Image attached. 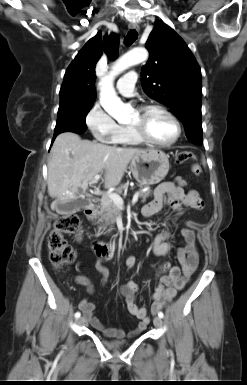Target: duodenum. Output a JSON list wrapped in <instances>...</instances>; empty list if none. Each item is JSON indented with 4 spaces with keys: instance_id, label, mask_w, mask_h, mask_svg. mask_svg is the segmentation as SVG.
Listing matches in <instances>:
<instances>
[{
    "instance_id": "410a0bca",
    "label": "duodenum",
    "mask_w": 247,
    "mask_h": 385,
    "mask_svg": "<svg viewBox=\"0 0 247 385\" xmlns=\"http://www.w3.org/2000/svg\"><path fill=\"white\" fill-rule=\"evenodd\" d=\"M99 212V207L96 204H90L85 209V215L88 219H95ZM93 248L97 254L107 256L110 254L111 247L100 242H94Z\"/></svg>"
}]
</instances>
